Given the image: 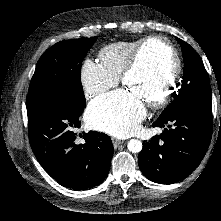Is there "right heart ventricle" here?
Listing matches in <instances>:
<instances>
[{
	"label": "right heart ventricle",
	"instance_id": "obj_1",
	"mask_svg": "<svg viewBox=\"0 0 221 221\" xmlns=\"http://www.w3.org/2000/svg\"><path fill=\"white\" fill-rule=\"evenodd\" d=\"M142 39L119 41L101 49L99 52V65L103 71L108 75L119 78L129 60L131 52Z\"/></svg>",
	"mask_w": 221,
	"mask_h": 221
}]
</instances>
